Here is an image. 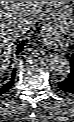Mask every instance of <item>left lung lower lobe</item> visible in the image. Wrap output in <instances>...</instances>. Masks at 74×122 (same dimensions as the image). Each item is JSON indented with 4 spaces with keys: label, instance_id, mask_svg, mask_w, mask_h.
Returning a JSON list of instances; mask_svg holds the SVG:
<instances>
[{
    "label": "left lung lower lobe",
    "instance_id": "left-lung-lower-lobe-1",
    "mask_svg": "<svg viewBox=\"0 0 74 122\" xmlns=\"http://www.w3.org/2000/svg\"><path fill=\"white\" fill-rule=\"evenodd\" d=\"M58 88L68 94H74V54L71 58V72L65 80L58 83Z\"/></svg>",
    "mask_w": 74,
    "mask_h": 122
}]
</instances>
